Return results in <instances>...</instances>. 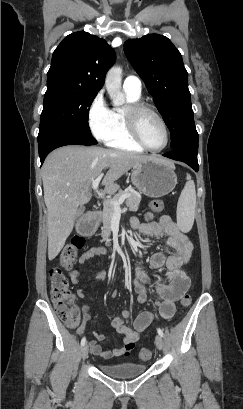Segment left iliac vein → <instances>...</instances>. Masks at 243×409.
I'll return each instance as SVG.
<instances>
[{"mask_svg": "<svg viewBox=\"0 0 243 409\" xmlns=\"http://www.w3.org/2000/svg\"><path fill=\"white\" fill-rule=\"evenodd\" d=\"M155 344H156V346H157V348H158L159 350H162V349H163V344H164V342H163V338H162L160 335H157V336L155 337Z\"/></svg>", "mask_w": 243, "mask_h": 409, "instance_id": "1", "label": "left iliac vein"}]
</instances>
